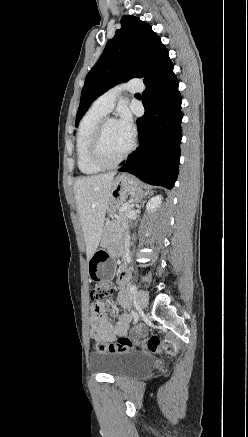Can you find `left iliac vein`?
I'll return each instance as SVG.
<instances>
[{"mask_svg": "<svg viewBox=\"0 0 248 437\" xmlns=\"http://www.w3.org/2000/svg\"><path fill=\"white\" fill-rule=\"evenodd\" d=\"M137 301L141 309H145L149 302L148 293L144 290H139L137 293Z\"/></svg>", "mask_w": 248, "mask_h": 437, "instance_id": "4c4485c4", "label": "left iliac vein"}]
</instances>
